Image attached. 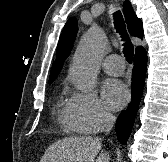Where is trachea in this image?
<instances>
[{
    "label": "trachea",
    "mask_w": 168,
    "mask_h": 162,
    "mask_svg": "<svg viewBox=\"0 0 168 162\" xmlns=\"http://www.w3.org/2000/svg\"><path fill=\"white\" fill-rule=\"evenodd\" d=\"M114 25L117 30V33L121 35L122 41H124V44H123L124 56L129 63H132L133 55H134V47L128 37L125 22L120 11H116L114 13Z\"/></svg>",
    "instance_id": "trachea-1"
}]
</instances>
